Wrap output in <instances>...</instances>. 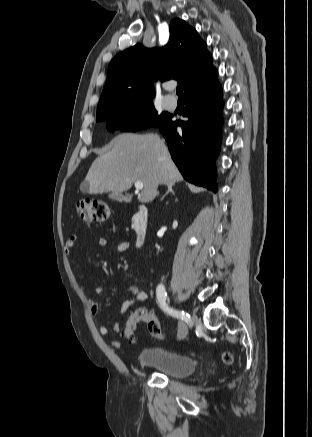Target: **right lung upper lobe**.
I'll return each mask as SVG.
<instances>
[{"instance_id":"right-lung-upper-lobe-1","label":"right lung upper lobe","mask_w":312,"mask_h":437,"mask_svg":"<svg viewBox=\"0 0 312 437\" xmlns=\"http://www.w3.org/2000/svg\"><path fill=\"white\" fill-rule=\"evenodd\" d=\"M216 73L205 42L183 20L170 24V40L163 48L141 44L115 56L109 64L96 118L128 105L152 102V81L175 79L184 93ZM151 81V82H150Z\"/></svg>"}]
</instances>
